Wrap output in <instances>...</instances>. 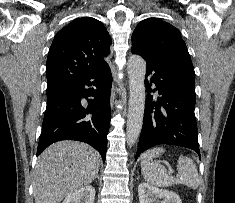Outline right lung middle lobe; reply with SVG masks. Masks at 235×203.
<instances>
[{
  "mask_svg": "<svg viewBox=\"0 0 235 203\" xmlns=\"http://www.w3.org/2000/svg\"><path fill=\"white\" fill-rule=\"evenodd\" d=\"M62 87H64V86H50V87H47V95L61 89Z\"/></svg>",
  "mask_w": 235,
  "mask_h": 203,
  "instance_id": "obj_1",
  "label": "right lung middle lobe"
}]
</instances>
